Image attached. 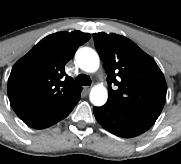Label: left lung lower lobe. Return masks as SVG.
Masks as SVG:
<instances>
[{
	"label": "left lung lower lobe",
	"mask_w": 181,
	"mask_h": 164,
	"mask_svg": "<svg viewBox=\"0 0 181 164\" xmlns=\"http://www.w3.org/2000/svg\"><path fill=\"white\" fill-rule=\"evenodd\" d=\"M93 110L102 127L124 138H131L144 133L156 121L110 100L104 106L94 107Z\"/></svg>",
	"instance_id": "0a47b994"
}]
</instances>
